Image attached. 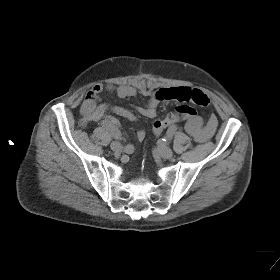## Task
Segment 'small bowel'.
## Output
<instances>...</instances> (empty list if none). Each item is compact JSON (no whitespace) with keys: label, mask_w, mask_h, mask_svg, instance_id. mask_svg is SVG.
Instances as JSON below:
<instances>
[{"label":"small bowel","mask_w":280,"mask_h":280,"mask_svg":"<svg viewBox=\"0 0 280 280\" xmlns=\"http://www.w3.org/2000/svg\"><path fill=\"white\" fill-rule=\"evenodd\" d=\"M103 91L114 92L119 98H133L137 91L130 85L97 84L86 95L81 105V116L83 122L98 121L100 119L110 121L118 127L117 119L111 114L119 115L131 121H136L137 116L131 111L112 104L101 103L100 95ZM175 100L181 103H193L198 106H207L209 104L208 96L200 90L188 87H169L160 88L150 94V99L144 106L136 107L137 112L146 118H155L157 106L161 102ZM218 126V120L215 115H210L205 121L201 116L194 115L186 119L185 130L197 142L209 140L215 133ZM146 136L145 129L137 131V138L143 140Z\"/></svg>","instance_id":"c3829d8e"}]
</instances>
